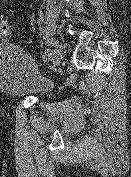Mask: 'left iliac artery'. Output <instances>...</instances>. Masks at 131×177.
<instances>
[{
  "instance_id": "44dca946",
  "label": "left iliac artery",
  "mask_w": 131,
  "mask_h": 177,
  "mask_svg": "<svg viewBox=\"0 0 131 177\" xmlns=\"http://www.w3.org/2000/svg\"><path fill=\"white\" fill-rule=\"evenodd\" d=\"M46 44L47 45H55V42L53 40H47ZM45 59L47 60L48 64L52 63V53L49 51V49H47L45 51Z\"/></svg>"
}]
</instances>
